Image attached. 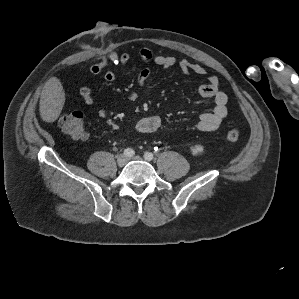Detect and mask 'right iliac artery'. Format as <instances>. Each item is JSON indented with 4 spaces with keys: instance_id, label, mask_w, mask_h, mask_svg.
I'll use <instances>...</instances> for the list:
<instances>
[{
    "instance_id": "1",
    "label": "right iliac artery",
    "mask_w": 299,
    "mask_h": 299,
    "mask_svg": "<svg viewBox=\"0 0 299 299\" xmlns=\"http://www.w3.org/2000/svg\"><path fill=\"white\" fill-rule=\"evenodd\" d=\"M124 155L128 156V157H132V156L135 155V151L133 149H131V148H126L124 150Z\"/></svg>"
}]
</instances>
